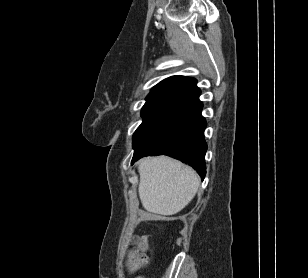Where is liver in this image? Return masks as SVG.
I'll list each match as a JSON object with an SVG mask.
<instances>
[{
    "mask_svg": "<svg viewBox=\"0 0 308 278\" xmlns=\"http://www.w3.org/2000/svg\"><path fill=\"white\" fill-rule=\"evenodd\" d=\"M139 197L152 213L174 215L194 198L200 178L189 166L167 156L146 157L139 161Z\"/></svg>",
    "mask_w": 308,
    "mask_h": 278,
    "instance_id": "6515ba94",
    "label": "liver"
}]
</instances>
